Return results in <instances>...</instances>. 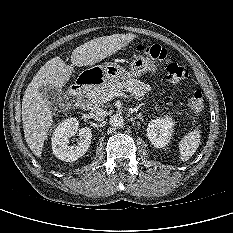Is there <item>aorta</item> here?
Here are the masks:
<instances>
[{
  "mask_svg": "<svg viewBox=\"0 0 233 233\" xmlns=\"http://www.w3.org/2000/svg\"><path fill=\"white\" fill-rule=\"evenodd\" d=\"M109 123L112 127L120 128L124 125V118L120 114H114L110 117Z\"/></svg>",
  "mask_w": 233,
  "mask_h": 233,
  "instance_id": "1",
  "label": "aorta"
}]
</instances>
